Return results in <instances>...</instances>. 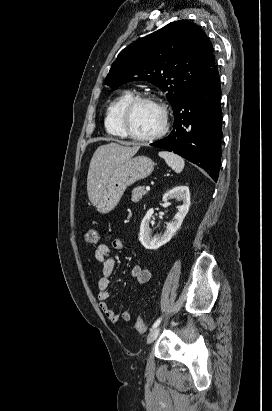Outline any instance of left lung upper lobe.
<instances>
[{"instance_id": "obj_1", "label": "left lung upper lobe", "mask_w": 272, "mask_h": 411, "mask_svg": "<svg viewBox=\"0 0 272 411\" xmlns=\"http://www.w3.org/2000/svg\"><path fill=\"white\" fill-rule=\"evenodd\" d=\"M214 64L213 46L205 32L195 23L180 20L123 49L104 84L115 89L130 81L147 80L166 92L174 110Z\"/></svg>"}]
</instances>
